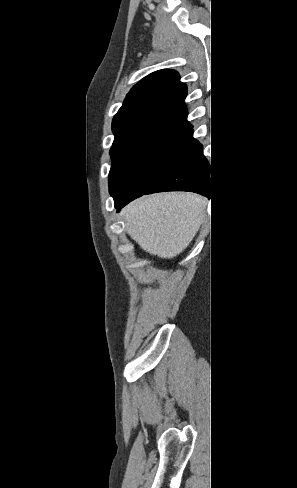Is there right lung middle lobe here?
Returning <instances> with one entry per match:
<instances>
[{"label":"right lung middle lobe","mask_w":297,"mask_h":488,"mask_svg":"<svg viewBox=\"0 0 297 488\" xmlns=\"http://www.w3.org/2000/svg\"><path fill=\"white\" fill-rule=\"evenodd\" d=\"M176 132L139 131L118 135L110 150L112 167L109 191L113 198L125 195L151 160Z\"/></svg>","instance_id":"1"}]
</instances>
